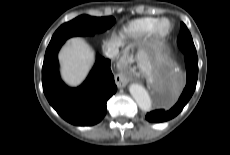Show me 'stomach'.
Instances as JSON below:
<instances>
[{
	"label": "stomach",
	"mask_w": 230,
	"mask_h": 155,
	"mask_svg": "<svg viewBox=\"0 0 230 155\" xmlns=\"http://www.w3.org/2000/svg\"><path fill=\"white\" fill-rule=\"evenodd\" d=\"M155 51V47L152 45H147L146 47L141 49V52L145 55H151L152 53H154Z\"/></svg>",
	"instance_id": "0dacf381"
}]
</instances>
